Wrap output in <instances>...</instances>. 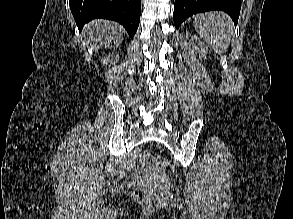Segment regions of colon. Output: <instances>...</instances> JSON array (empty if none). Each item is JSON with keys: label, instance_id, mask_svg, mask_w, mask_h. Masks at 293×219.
<instances>
[{"label": "colon", "instance_id": "colon-1", "mask_svg": "<svg viewBox=\"0 0 293 219\" xmlns=\"http://www.w3.org/2000/svg\"><path fill=\"white\" fill-rule=\"evenodd\" d=\"M140 162L145 167L150 168H166L168 162L165 158L151 155L148 152H143L140 155ZM133 196L138 201L148 202L152 196L151 189L143 183H135L133 189Z\"/></svg>", "mask_w": 293, "mask_h": 219}]
</instances>
